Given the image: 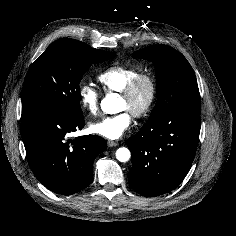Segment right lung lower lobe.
<instances>
[{
	"instance_id": "right-lung-lower-lobe-1",
	"label": "right lung lower lobe",
	"mask_w": 236,
	"mask_h": 236,
	"mask_svg": "<svg viewBox=\"0 0 236 236\" xmlns=\"http://www.w3.org/2000/svg\"><path fill=\"white\" fill-rule=\"evenodd\" d=\"M85 125L83 114L39 109L22 115L21 135L28 164L49 190L71 195L86 188L93 178V161L107 147L96 135L69 139Z\"/></svg>"
}]
</instances>
